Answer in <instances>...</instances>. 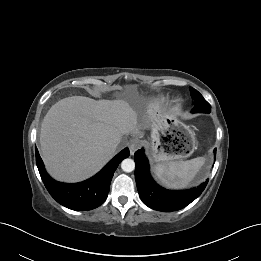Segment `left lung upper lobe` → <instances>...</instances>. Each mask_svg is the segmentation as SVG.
<instances>
[{
  "instance_id": "obj_1",
  "label": "left lung upper lobe",
  "mask_w": 261,
  "mask_h": 261,
  "mask_svg": "<svg viewBox=\"0 0 261 261\" xmlns=\"http://www.w3.org/2000/svg\"><path fill=\"white\" fill-rule=\"evenodd\" d=\"M191 97L194 100V107L191 112L194 113H210L211 105L203 98V96L194 88L190 87Z\"/></svg>"
}]
</instances>
